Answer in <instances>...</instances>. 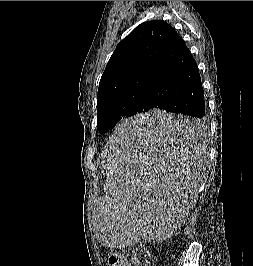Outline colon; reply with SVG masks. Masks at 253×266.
Instances as JSON below:
<instances>
[{
	"mask_svg": "<svg viewBox=\"0 0 253 266\" xmlns=\"http://www.w3.org/2000/svg\"><path fill=\"white\" fill-rule=\"evenodd\" d=\"M149 264V261H146ZM109 266H127L126 259L119 253H113L108 259Z\"/></svg>",
	"mask_w": 253,
	"mask_h": 266,
	"instance_id": "colon-1",
	"label": "colon"
}]
</instances>
